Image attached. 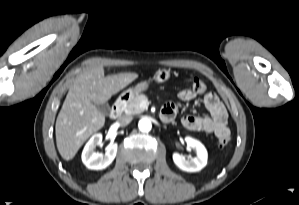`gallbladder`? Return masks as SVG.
Segmentation results:
<instances>
[{
    "instance_id": "1",
    "label": "gallbladder",
    "mask_w": 299,
    "mask_h": 205,
    "mask_svg": "<svg viewBox=\"0 0 299 205\" xmlns=\"http://www.w3.org/2000/svg\"><path fill=\"white\" fill-rule=\"evenodd\" d=\"M95 106L104 115H108L110 113L111 108L108 103L95 104Z\"/></svg>"
}]
</instances>
